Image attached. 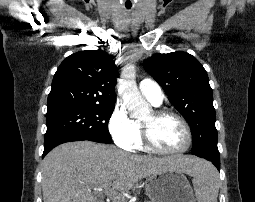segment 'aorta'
Segmentation results:
<instances>
[{"label":"aorta","instance_id":"1","mask_svg":"<svg viewBox=\"0 0 255 202\" xmlns=\"http://www.w3.org/2000/svg\"><path fill=\"white\" fill-rule=\"evenodd\" d=\"M121 92L122 98L130 111L133 118H142L150 113V106L142 98L136 82H135V67L127 65L121 74Z\"/></svg>","mask_w":255,"mask_h":202}]
</instances>
